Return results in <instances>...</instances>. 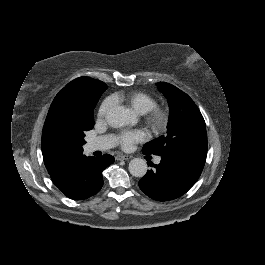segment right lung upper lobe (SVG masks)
<instances>
[{
    "mask_svg": "<svg viewBox=\"0 0 265 265\" xmlns=\"http://www.w3.org/2000/svg\"><path fill=\"white\" fill-rule=\"evenodd\" d=\"M104 85L106 84L90 77H79L68 83L54 98L44 123L41 138L44 164L51 177L57 176L68 164L82 156V153H67L58 146L55 140L58 125L64 116L69 101L78 93Z\"/></svg>",
    "mask_w": 265,
    "mask_h": 265,
    "instance_id": "1",
    "label": "right lung upper lobe"
}]
</instances>
